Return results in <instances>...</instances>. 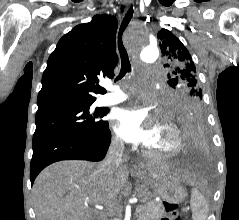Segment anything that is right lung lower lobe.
Masks as SVG:
<instances>
[{
	"label": "right lung lower lobe",
	"instance_id": "98d812e1",
	"mask_svg": "<svg viewBox=\"0 0 239 220\" xmlns=\"http://www.w3.org/2000/svg\"><path fill=\"white\" fill-rule=\"evenodd\" d=\"M111 140L109 126L96 137L65 133L39 134L33 137L30 180L33 184L42 169L60 160H102Z\"/></svg>",
	"mask_w": 239,
	"mask_h": 220
}]
</instances>
